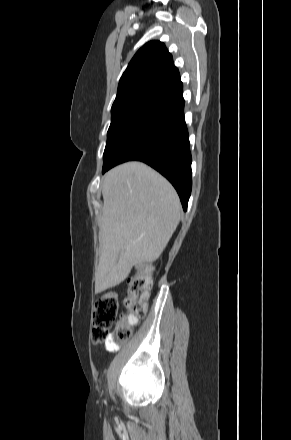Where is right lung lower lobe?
<instances>
[{
  "label": "right lung lower lobe",
  "instance_id": "right-lung-lower-lobe-1",
  "mask_svg": "<svg viewBox=\"0 0 291 440\" xmlns=\"http://www.w3.org/2000/svg\"><path fill=\"white\" fill-rule=\"evenodd\" d=\"M142 161L165 176L177 190L184 211L191 194V152L184 119L182 82L156 97L112 157L110 168Z\"/></svg>",
  "mask_w": 291,
  "mask_h": 440
}]
</instances>
